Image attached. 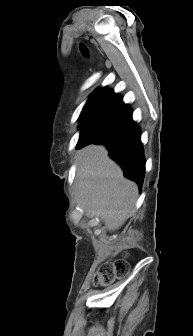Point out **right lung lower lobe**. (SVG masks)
Masks as SVG:
<instances>
[{
	"label": "right lung lower lobe",
	"mask_w": 193,
	"mask_h": 336,
	"mask_svg": "<svg viewBox=\"0 0 193 336\" xmlns=\"http://www.w3.org/2000/svg\"><path fill=\"white\" fill-rule=\"evenodd\" d=\"M103 144L108 155L124 171V176L143 184L145 159L140 140V128L132 121V110L122 101L113 110L103 131L94 139L78 143L77 148L88 144Z\"/></svg>",
	"instance_id": "1"
}]
</instances>
